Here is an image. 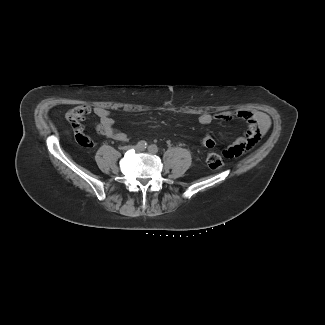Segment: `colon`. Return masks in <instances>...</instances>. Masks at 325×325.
I'll return each mask as SVG.
<instances>
[{
	"instance_id": "1",
	"label": "colon",
	"mask_w": 325,
	"mask_h": 325,
	"mask_svg": "<svg viewBox=\"0 0 325 325\" xmlns=\"http://www.w3.org/2000/svg\"><path fill=\"white\" fill-rule=\"evenodd\" d=\"M206 160H207L208 166L212 170H218L223 165V161H222L221 156L219 154L215 153V152H209L207 154Z\"/></svg>"
}]
</instances>
